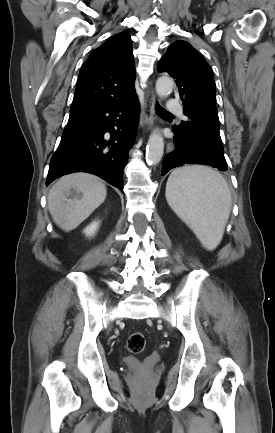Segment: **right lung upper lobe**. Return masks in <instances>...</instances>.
<instances>
[{"label": "right lung upper lobe", "instance_id": "cb5924a9", "mask_svg": "<svg viewBox=\"0 0 275 433\" xmlns=\"http://www.w3.org/2000/svg\"><path fill=\"white\" fill-rule=\"evenodd\" d=\"M131 43L130 34L123 31L91 53L80 70L70 115L136 95Z\"/></svg>", "mask_w": 275, "mask_h": 433}]
</instances>
